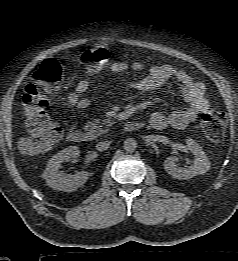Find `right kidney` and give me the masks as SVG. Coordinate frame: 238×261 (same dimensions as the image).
<instances>
[{
  "mask_svg": "<svg viewBox=\"0 0 238 261\" xmlns=\"http://www.w3.org/2000/svg\"><path fill=\"white\" fill-rule=\"evenodd\" d=\"M80 154V150L76 146H70L55 154L49 161L43 172V178L49 187L64 191L72 192L78 187L82 186L90 174L87 171H79L74 175L65 174L59 171L62 162H67L72 158H77Z\"/></svg>",
  "mask_w": 238,
  "mask_h": 261,
  "instance_id": "obj_1",
  "label": "right kidney"
}]
</instances>
